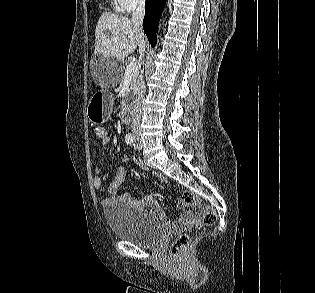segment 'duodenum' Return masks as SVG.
I'll return each instance as SVG.
<instances>
[{"label": "duodenum", "instance_id": "410a0bca", "mask_svg": "<svg viewBox=\"0 0 315 293\" xmlns=\"http://www.w3.org/2000/svg\"><path fill=\"white\" fill-rule=\"evenodd\" d=\"M130 106L128 104H124L121 109V120L125 123L130 120Z\"/></svg>", "mask_w": 315, "mask_h": 293}]
</instances>
